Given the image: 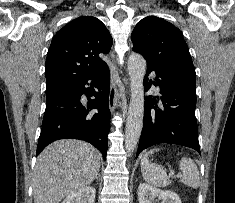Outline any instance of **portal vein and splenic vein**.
Segmentation results:
<instances>
[{"mask_svg": "<svg viewBox=\"0 0 235 203\" xmlns=\"http://www.w3.org/2000/svg\"><path fill=\"white\" fill-rule=\"evenodd\" d=\"M175 174V172L173 170H170L169 176H173ZM178 177H181V174H177Z\"/></svg>", "mask_w": 235, "mask_h": 203, "instance_id": "1", "label": "portal vein and splenic vein"}]
</instances>
